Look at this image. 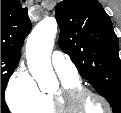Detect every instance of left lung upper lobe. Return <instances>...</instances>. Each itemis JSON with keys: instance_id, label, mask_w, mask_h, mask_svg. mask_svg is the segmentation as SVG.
<instances>
[{"instance_id": "obj_1", "label": "left lung upper lobe", "mask_w": 121, "mask_h": 113, "mask_svg": "<svg viewBox=\"0 0 121 113\" xmlns=\"http://www.w3.org/2000/svg\"><path fill=\"white\" fill-rule=\"evenodd\" d=\"M55 16L59 45L80 75L121 113V60L112 22L97 0H63Z\"/></svg>"}]
</instances>
